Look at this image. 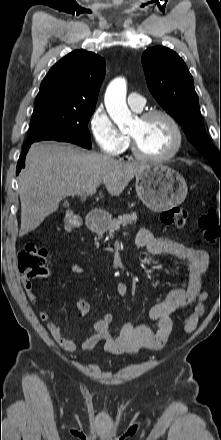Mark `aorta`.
Wrapping results in <instances>:
<instances>
[{"instance_id":"1","label":"aorta","mask_w":221,"mask_h":440,"mask_svg":"<svg viewBox=\"0 0 221 440\" xmlns=\"http://www.w3.org/2000/svg\"><path fill=\"white\" fill-rule=\"evenodd\" d=\"M104 102L109 116L120 129L133 122V115L126 104V81L123 78L111 81Z\"/></svg>"}]
</instances>
